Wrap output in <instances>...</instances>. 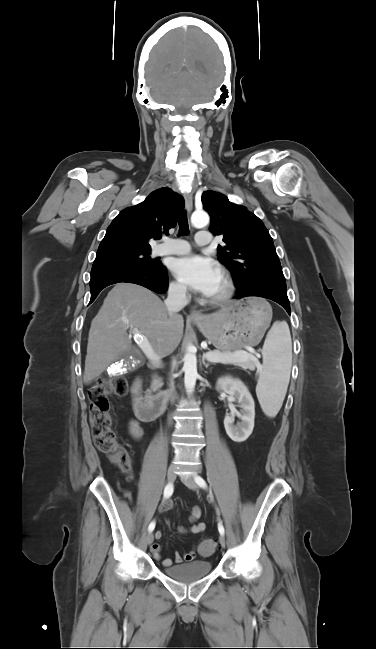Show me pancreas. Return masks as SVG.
Here are the masks:
<instances>
[{
    "instance_id": "cf45deb5",
    "label": "pancreas",
    "mask_w": 376,
    "mask_h": 649,
    "mask_svg": "<svg viewBox=\"0 0 376 649\" xmlns=\"http://www.w3.org/2000/svg\"><path fill=\"white\" fill-rule=\"evenodd\" d=\"M237 352H243V351L238 350ZM207 353H221V352L219 350H213V351H209ZM257 363H258V360L257 361L246 360V361H237V362H226V363H223V364H231V365H234V366L241 367L244 370L249 369L251 371H254L256 366H257ZM162 385H163L162 379L155 376L153 381H152L151 388H150L149 392L156 391L157 389L161 388Z\"/></svg>"
}]
</instances>
